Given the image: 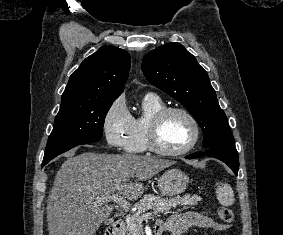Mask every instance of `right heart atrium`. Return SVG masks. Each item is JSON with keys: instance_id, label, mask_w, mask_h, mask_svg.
<instances>
[{"instance_id": "obj_1", "label": "right heart atrium", "mask_w": 283, "mask_h": 235, "mask_svg": "<svg viewBox=\"0 0 283 235\" xmlns=\"http://www.w3.org/2000/svg\"><path fill=\"white\" fill-rule=\"evenodd\" d=\"M131 122L125 99L119 97L108 108L104 120L103 131L107 143L114 148H124L125 137Z\"/></svg>"}]
</instances>
